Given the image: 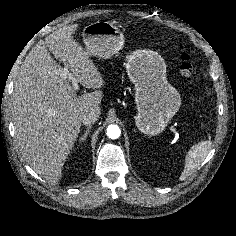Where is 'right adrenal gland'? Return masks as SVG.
I'll return each mask as SVG.
<instances>
[{
  "instance_id": "1",
  "label": "right adrenal gland",
  "mask_w": 236,
  "mask_h": 236,
  "mask_svg": "<svg viewBox=\"0 0 236 236\" xmlns=\"http://www.w3.org/2000/svg\"><path fill=\"white\" fill-rule=\"evenodd\" d=\"M90 129H91V126H88V127L86 128V131L84 132L83 136L80 137L79 141H80L81 143L84 142V141L87 139L88 134L90 133Z\"/></svg>"
}]
</instances>
